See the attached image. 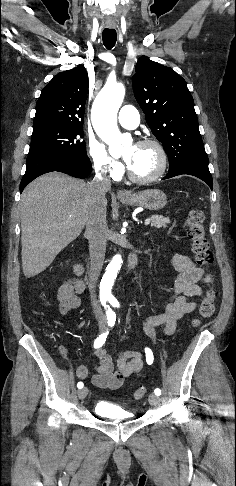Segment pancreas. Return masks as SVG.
Masks as SVG:
<instances>
[{
  "instance_id": "obj_1",
  "label": "pancreas",
  "mask_w": 236,
  "mask_h": 486,
  "mask_svg": "<svg viewBox=\"0 0 236 486\" xmlns=\"http://www.w3.org/2000/svg\"><path fill=\"white\" fill-rule=\"evenodd\" d=\"M151 221V227H156V228H166L167 224L170 223V219L168 217H164L161 215H153L150 218Z\"/></svg>"
}]
</instances>
